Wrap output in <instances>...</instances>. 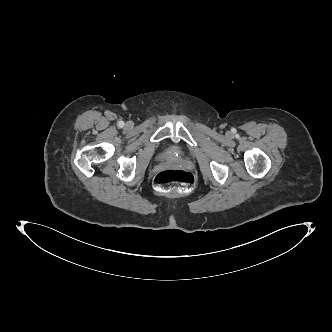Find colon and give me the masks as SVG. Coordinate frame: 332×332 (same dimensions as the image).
<instances>
[{
  "mask_svg": "<svg viewBox=\"0 0 332 332\" xmlns=\"http://www.w3.org/2000/svg\"><path fill=\"white\" fill-rule=\"evenodd\" d=\"M195 179L192 173L181 169H166L155 176L154 185L162 192L191 191Z\"/></svg>",
  "mask_w": 332,
  "mask_h": 332,
  "instance_id": "1",
  "label": "colon"
}]
</instances>
